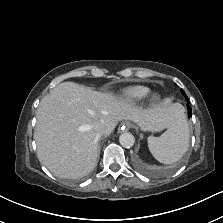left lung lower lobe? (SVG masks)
<instances>
[{"label": "left lung lower lobe", "instance_id": "0a47b994", "mask_svg": "<svg viewBox=\"0 0 223 223\" xmlns=\"http://www.w3.org/2000/svg\"><path fill=\"white\" fill-rule=\"evenodd\" d=\"M186 100H187V102H189L188 98H186ZM187 107H188V115H189V117H192V109L190 106H187Z\"/></svg>", "mask_w": 223, "mask_h": 223}]
</instances>
